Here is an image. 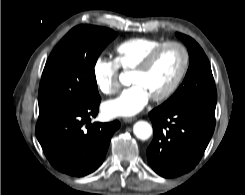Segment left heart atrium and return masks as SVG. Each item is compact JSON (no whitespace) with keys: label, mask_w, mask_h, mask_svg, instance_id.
Wrapping results in <instances>:
<instances>
[{"label":"left heart atrium","mask_w":245,"mask_h":195,"mask_svg":"<svg viewBox=\"0 0 245 195\" xmlns=\"http://www.w3.org/2000/svg\"><path fill=\"white\" fill-rule=\"evenodd\" d=\"M149 99V93L141 85L135 84L118 98L105 102L102 109L109 117H128L140 112Z\"/></svg>","instance_id":"39dd6f15"}]
</instances>
